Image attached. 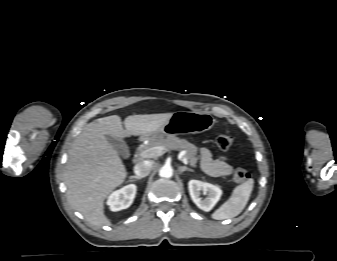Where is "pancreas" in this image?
I'll return each instance as SVG.
<instances>
[{
	"label": "pancreas",
	"instance_id": "obj_1",
	"mask_svg": "<svg viewBox=\"0 0 337 261\" xmlns=\"http://www.w3.org/2000/svg\"><path fill=\"white\" fill-rule=\"evenodd\" d=\"M155 146H164L166 151L170 150H185V157L188 160V163L192 167H196L198 160L197 151L198 148L192 143L188 142L185 139H180L176 136H167L165 138L157 137L152 139L147 145L142 146L140 151L147 150Z\"/></svg>",
	"mask_w": 337,
	"mask_h": 261
}]
</instances>
